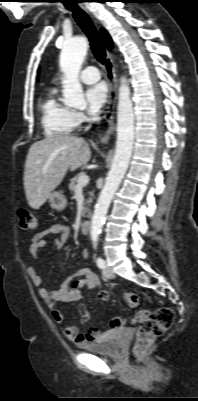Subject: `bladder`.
<instances>
[{"label":"bladder","mask_w":198,"mask_h":401,"mask_svg":"<svg viewBox=\"0 0 198 401\" xmlns=\"http://www.w3.org/2000/svg\"><path fill=\"white\" fill-rule=\"evenodd\" d=\"M121 334L118 329H110L92 343L85 344L84 349L90 353L117 357L121 353V345L117 337Z\"/></svg>","instance_id":"1"}]
</instances>
